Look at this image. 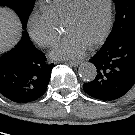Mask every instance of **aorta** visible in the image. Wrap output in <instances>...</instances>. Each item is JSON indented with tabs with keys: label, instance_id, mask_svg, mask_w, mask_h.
Masks as SVG:
<instances>
[{
	"label": "aorta",
	"instance_id": "aorta-1",
	"mask_svg": "<svg viewBox=\"0 0 135 135\" xmlns=\"http://www.w3.org/2000/svg\"><path fill=\"white\" fill-rule=\"evenodd\" d=\"M79 75L84 81H93L97 76V70L93 63L84 62L79 66Z\"/></svg>",
	"mask_w": 135,
	"mask_h": 135
}]
</instances>
